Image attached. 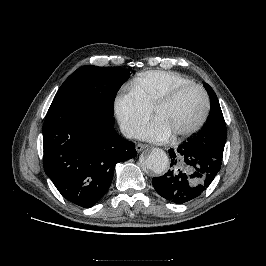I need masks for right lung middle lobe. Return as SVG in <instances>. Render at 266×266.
Segmentation results:
<instances>
[{
    "label": "right lung middle lobe",
    "mask_w": 266,
    "mask_h": 266,
    "mask_svg": "<svg viewBox=\"0 0 266 266\" xmlns=\"http://www.w3.org/2000/svg\"><path fill=\"white\" fill-rule=\"evenodd\" d=\"M129 76L118 67L82 66L65 80L52 104L94 108L113 116L116 93Z\"/></svg>",
    "instance_id": "dd1d6c3e"
}]
</instances>
